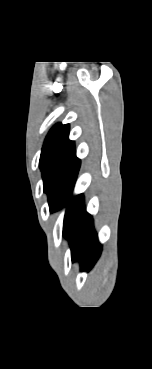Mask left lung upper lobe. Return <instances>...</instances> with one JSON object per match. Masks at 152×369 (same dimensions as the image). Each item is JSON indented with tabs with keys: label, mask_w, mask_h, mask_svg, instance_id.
<instances>
[{
	"label": "left lung upper lobe",
	"mask_w": 152,
	"mask_h": 369,
	"mask_svg": "<svg viewBox=\"0 0 152 369\" xmlns=\"http://www.w3.org/2000/svg\"><path fill=\"white\" fill-rule=\"evenodd\" d=\"M39 166L43 175L44 192L48 194L50 212L67 206L63 225L65 234L78 198L70 199L80 168L74 141L69 140V124H56L50 130L42 147Z\"/></svg>",
	"instance_id": "5c2ea615"
}]
</instances>
